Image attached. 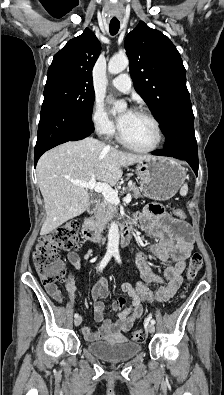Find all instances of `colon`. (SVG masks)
Segmentation results:
<instances>
[{
    "instance_id": "obj_1",
    "label": "colon",
    "mask_w": 224,
    "mask_h": 395,
    "mask_svg": "<svg viewBox=\"0 0 224 395\" xmlns=\"http://www.w3.org/2000/svg\"><path fill=\"white\" fill-rule=\"evenodd\" d=\"M176 217L184 219L185 212L182 209L174 210ZM78 244V226L76 223H67L49 233L39 237L34 252L33 261L39 278L44 284L63 282L69 278L65 264L58 256V250L70 249ZM203 265V258L199 252H194L189 260L186 273L188 281H193L197 277ZM125 303L123 298L114 302V309L120 310ZM145 337L142 329H135L131 332L134 341H141Z\"/></svg>"
}]
</instances>
